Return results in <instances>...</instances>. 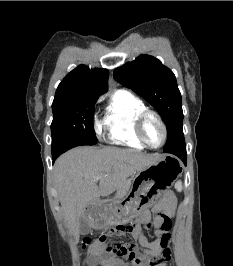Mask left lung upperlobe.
<instances>
[{"instance_id": "5c2ea615", "label": "left lung upper lobe", "mask_w": 233, "mask_h": 266, "mask_svg": "<svg viewBox=\"0 0 233 266\" xmlns=\"http://www.w3.org/2000/svg\"><path fill=\"white\" fill-rule=\"evenodd\" d=\"M114 78L143 97L161 115L168 132L164 148L184 138L181 94L174 73L160 60L142 54L117 68Z\"/></svg>"}]
</instances>
